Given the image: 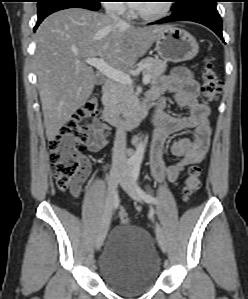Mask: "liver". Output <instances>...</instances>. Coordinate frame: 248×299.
<instances>
[{
	"mask_svg": "<svg viewBox=\"0 0 248 299\" xmlns=\"http://www.w3.org/2000/svg\"><path fill=\"white\" fill-rule=\"evenodd\" d=\"M164 27L120 25L108 15L82 8L48 16L36 32L34 57L48 141L93 92L96 77L85 59L100 57L113 68H129Z\"/></svg>",
	"mask_w": 248,
	"mask_h": 299,
	"instance_id": "obj_1",
	"label": "liver"
}]
</instances>
